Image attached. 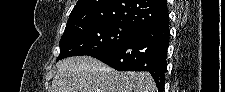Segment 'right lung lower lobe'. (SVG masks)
<instances>
[{
    "label": "right lung lower lobe",
    "mask_w": 225,
    "mask_h": 92,
    "mask_svg": "<svg viewBox=\"0 0 225 92\" xmlns=\"http://www.w3.org/2000/svg\"><path fill=\"white\" fill-rule=\"evenodd\" d=\"M169 35V22H166L140 30L131 40L100 51L92 57L118 71H148L159 92H163Z\"/></svg>",
    "instance_id": "1"
}]
</instances>
